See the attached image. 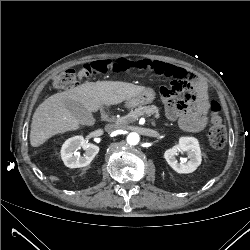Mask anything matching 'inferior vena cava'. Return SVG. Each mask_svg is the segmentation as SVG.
I'll use <instances>...</instances> for the list:
<instances>
[{"label":"inferior vena cava","mask_w":250,"mask_h":250,"mask_svg":"<svg viewBox=\"0 0 250 250\" xmlns=\"http://www.w3.org/2000/svg\"><path fill=\"white\" fill-rule=\"evenodd\" d=\"M118 129H119V127L117 125L108 124L105 126V130L109 133L114 132Z\"/></svg>","instance_id":"obj_1"}]
</instances>
